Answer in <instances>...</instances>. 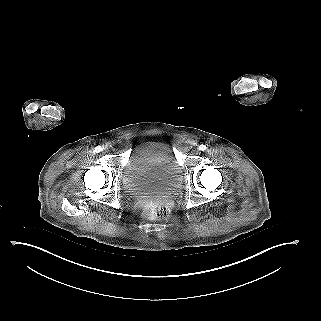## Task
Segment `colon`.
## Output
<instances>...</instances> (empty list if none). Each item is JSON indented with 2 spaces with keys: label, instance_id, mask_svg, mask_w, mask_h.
Masks as SVG:
<instances>
[{
  "label": "colon",
  "instance_id": "colon-1",
  "mask_svg": "<svg viewBox=\"0 0 321 321\" xmlns=\"http://www.w3.org/2000/svg\"><path fill=\"white\" fill-rule=\"evenodd\" d=\"M144 216L150 220H162L169 214V209L162 203L152 202L144 207Z\"/></svg>",
  "mask_w": 321,
  "mask_h": 321
}]
</instances>
